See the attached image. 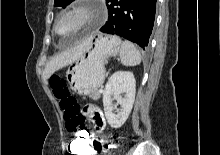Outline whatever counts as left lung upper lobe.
Segmentation results:
<instances>
[{"label":"left lung upper lobe","instance_id":"5c2ea615","mask_svg":"<svg viewBox=\"0 0 220 155\" xmlns=\"http://www.w3.org/2000/svg\"><path fill=\"white\" fill-rule=\"evenodd\" d=\"M73 0H55V4L57 6H62V7H65L67 6L68 4H70Z\"/></svg>","mask_w":220,"mask_h":155}]
</instances>
